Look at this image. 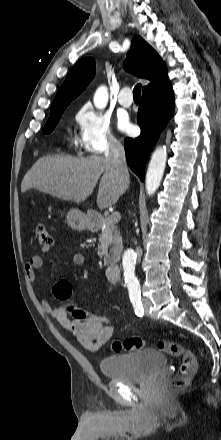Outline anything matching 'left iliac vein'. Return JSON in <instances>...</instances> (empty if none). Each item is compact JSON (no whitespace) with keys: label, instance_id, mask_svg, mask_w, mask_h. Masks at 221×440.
Returning <instances> with one entry per match:
<instances>
[{"label":"left iliac vein","instance_id":"4c4485c4","mask_svg":"<svg viewBox=\"0 0 221 440\" xmlns=\"http://www.w3.org/2000/svg\"><path fill=\"white\" fill-rule=\"evenodd\" d=\"M143 305H144V309H145V314L147 315L148 311H149V305H150L149 300L148 299H144L143 300Z\"/></svg>","mask_w":221,"mask_h":440}]
</instances>
